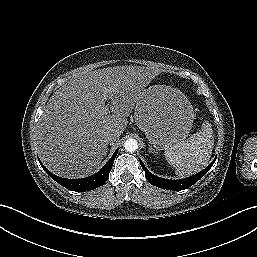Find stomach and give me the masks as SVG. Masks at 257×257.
<instances>
[{"label":"stomach","mask_w":257,"mask_h":257,"mask_svg":"<svg viewBox=\"0 0 257 257\" xmlns=\"http://www.w3.org/2000/svg\"><path fill=\"white\" fill-rule=\"evenodd\" d=\"M135 122L156 149H168L184 141L192 128L195 114L187 97L170 86L146 89L136 103Z\"/></svg>","instance_id":"stomach-1"}]
</instances>
